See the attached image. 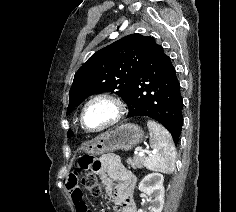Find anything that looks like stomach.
Returning <instances> with one entry per match:
<instances>
[{
  "label": "stomach",
  "mask_w": 236,
  "mask_h": 212,
  "mask_svg": "<svg viewBox=\"0 0 236 212\" xmlns=\"http://www.w3.org/2000/svg\"><path fill=\"white\" fill-rule=\"evenodd\" d=\"M143 130L136 124L126 123L115 130L107 131L97 136L84 149L90 155H101L117 150L128 151L142 142Z\"/></svg>",
  "instance_id": "obj_1"
}]
</instances>
